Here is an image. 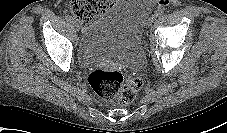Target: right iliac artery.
<instances>
[{
	"label": "right iliac artery",
	"mask_w": 227,
	"mask_h": 133,
	"mask_svg": "<svg viewBox=\"0 0 227 133\" xmlns=\"http://www.w3.org/2000/svg\"><path fill=\"white\" fill-rule=\"evenodd\" d=\"M66 20H67L68 22H72L73 17H72L71 15H67V16H66Z\"/></svg>",
	"instance_id": "obj_1"
}]
</instances>
